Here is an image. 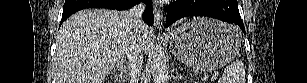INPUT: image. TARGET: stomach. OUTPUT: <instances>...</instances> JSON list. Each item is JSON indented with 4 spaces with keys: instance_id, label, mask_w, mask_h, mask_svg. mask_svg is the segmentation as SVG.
<instances>
[{
    "instance_id": "1",
    "label": "stomach",
    "mask_w": 307,
    "mask_h": 83,
    "mask_svg": "<svg viewBox=\"0 0 307 83\" xmlns=\"http://www.w3.org/2000/svg\"><path fill=\"white\" fill-rule=\"evenodd\" d=\"M241 41L237 27L208 18H193L169 33L173 55L201 71L226 65L239 52Z\"/></svg>"
}]
</instances>
